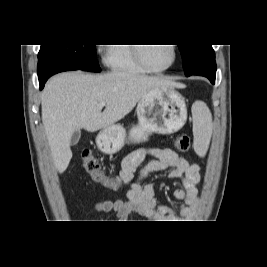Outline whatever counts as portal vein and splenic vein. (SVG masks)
<instances>
[{
	"instance_id": "portal-vein-and-splenic-vein-1",
	"label": "portal vein and splenic vein",
	"mask_w": 267,
	"mask_h": 267,
	"mask_svg": "<svg viewBox=\"0 0 267 267\" xmlns=\"http://www.w3.org/2000/svg\"><path fill=\"white\" fill-rule=\"evenodd\" d=\"M105 105H106L105 102H101V103H99V107H100V108L104 107Z\"/></svg>"
}]
</instances>
